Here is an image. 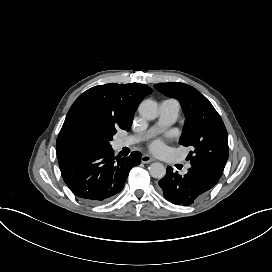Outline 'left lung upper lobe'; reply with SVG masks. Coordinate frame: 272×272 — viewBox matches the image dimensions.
Returning a JSON list of instances; mask_svg holds the SVG:
<instances>
[{
    "instance_id": "left-lung-upper-lobe-1",
    "label": "left lung upper lobe",
    "mask_w": 272,
    "mask_h": 272,
    "mask_svg": "<svg viewBox=\"0 0 272 272\" xmlns=\"http://www.w3.org/2000/svg\"><path fill=\"white\" fill-rule=\"evenodd\" d=\"M154 87L164 95L177 99L184 111L186 123L180 143L191 146L187 160L222 176L229 156L228 136L224 123L198 90L184 83H159Z\"/></svg>"
}]
</instances>
